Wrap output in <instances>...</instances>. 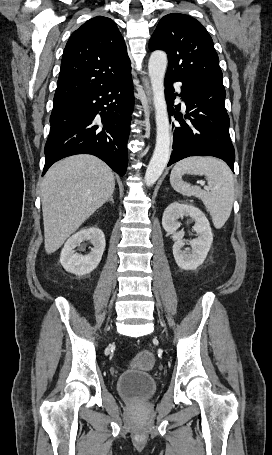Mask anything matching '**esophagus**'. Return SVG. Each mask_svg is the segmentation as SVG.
I'll return each instance as SVG.
<instances>
[{"instance_id":"1","label":"esophagus","mask_w":272,"mask_h":455,"mask_svg":"<svg viewBox=\"0 0 272 455\" xmlns=\"http://www.w3.org/2000/svg\"><path fill=\"white\" fill-rule=\"evenodd\" d=\"M143 83H144V86H145V92H146V95H147V99H148L149 105L151 107V99H152L151 89H150L149 80H148V78L146 76L143 77Z\"/></svg>"}]
</instances>
